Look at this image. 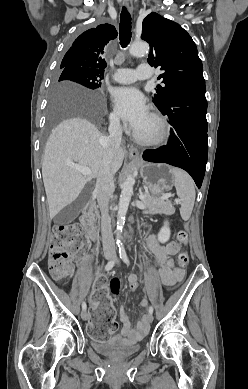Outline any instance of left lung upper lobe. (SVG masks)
I'll return each instance as SVG.
<instances>
[{
  "label": "left lung upper lobe",
  "mask_w": 248,
  "mask_h": 389,
  "mask_svg": "<svg viewBox=\"0 0 248 389\" xmlns=\"http://www.w3.org/2000/svg\"><path fill=\"white\" fill-rule=\"evenodd\" d=\"M141 38L150 45L148 63L163 71L158 79L165 86L158 85L152 97L158 109L181 90L205 85L197 47L178 23L150 13L143 20Z\"/></svg>",
  "instance_id": "left-lung-upper-lobe-1"
}]
</instances>
